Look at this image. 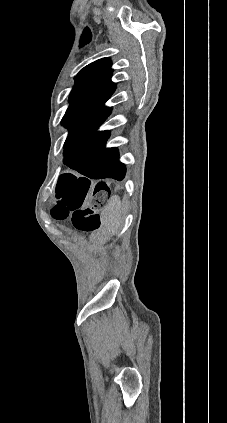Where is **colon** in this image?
I'll return each instance as SVG.
<instances>
[{
  "label": "colon",
  "instance_id": "5ec220e1",
  "mask_svg": "<svg viewBox=\"0 0 227 423\" xmlns=\"http://www.w3.org/2000/svg\"><path fill=\"white\" fill-rule=\"evenodd\" d=\"M89 189L87 181H75L62 178L56 187L57 204L53 215L57 219L72 215L74 226L84 232H92L100 227L99 211L109 195V189L104 183L95 186L89 204L82 208Z\"/></svg>",
  "mask_w": 227,
  "mask_h": 423
}]
</instances>
